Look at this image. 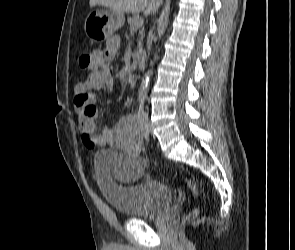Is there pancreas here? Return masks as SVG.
<instances>
[{"mask_svg": "<svg viewBox=\"0 0 295 250\" xmlns=\"http://www.w3.org/2000/svg\"><path fill=\"white\" fill-rule=\"evenodd\" d=\"M140 19H141V18H139L138 16L129 17V18L127 19L128 24H129V26H130V30H132V31H136V30H138V29L141 28V26H140V27H134V24H135L137 21H139ZM140 34H141V38H142V35H143L142 30H140ZM141 46H142V44H141V39H140L139 42H138V47L141 48Z\"/></svg>", "mask_w": 295, "mask_h": 250, "instance_id": "cf45deb5", "label": "pancreas"}]
</instances>
